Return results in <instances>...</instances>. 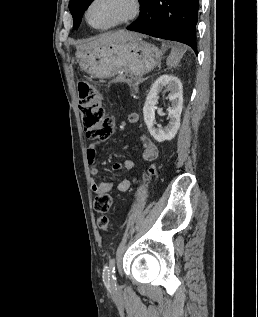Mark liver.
I'll list each match as a JSON object with an SVG mask.
<instances>
[{
  "label": "liver",
  "instance_id": "6515ba94",
  "mask_svg": "<svg viewBox=\"0 0 258 317\" xmlns=\"http://www.w3.org/2000/svg\"><path fill=\"white\" fill-rule=\"evenodd\" d=\"M138 36L137 32H128V30H118V32H104L94 38H88V42L79 40L76 48H95V46H102V44H117V42H127L133 40Z\"/></svg>",
  "mask_w": 258,
  "mask_h": 317
}]
</instances>
